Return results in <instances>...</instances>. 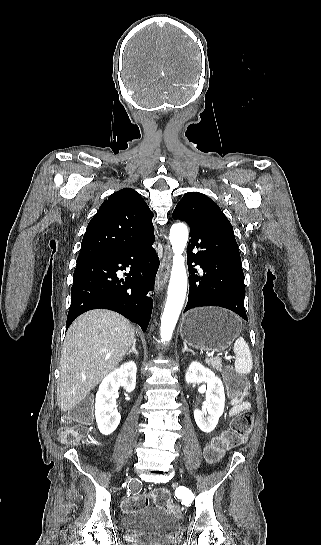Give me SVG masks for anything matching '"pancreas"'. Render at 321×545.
Listing matches in <instances>:
<instances>
[{"instance_id": "1", "label": "pancreas", "mask_w": 321, "mask_h": 545, "mask_svg": "<svg viewBox=\"0 0 321 545\" xmlns=\"http://www.w3.org/2000/svg\"><path fill=\"white\" fill-rule=\"evenodd\" d=\"M205 363L209 365V367H212V369H215V371H223L222 365H221V359H205Z\"/></svg>"}]
</instances>
